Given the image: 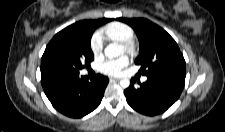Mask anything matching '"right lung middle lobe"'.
<instances>
[{
	"label": "right lung middle lobe",
	"instance_id": "obj_1",
	"mask_svg": "<svg viewBox=\"0 0 225 132\" xmlns=\"http://www.w3.org/2000/svg\"><path fill=\"white\" fill-rule=\"evenodd\" d=\"M111 19L84 20L58 32L47 45L41 60V75L78 74L94 59L90 47L93 32Z\"/></svg>",
	"mask_w": 225,
	"mask_h": 132
}]
</instances>
